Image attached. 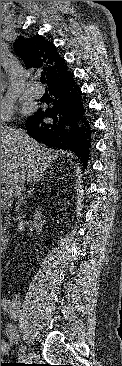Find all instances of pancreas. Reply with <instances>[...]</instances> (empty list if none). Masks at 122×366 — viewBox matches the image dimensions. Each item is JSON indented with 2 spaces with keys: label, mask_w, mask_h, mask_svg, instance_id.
<instances>
[{
  "label": "pancreas",
  "mask_w": 122,
  "mask_h": 366,
  "mask_svg": "<svg viewBox=\"0 0 122 366\" xmlns=\"http://www.w3.org/2000/svg\"><path fill=\"white\" fill-rule=\"evenodd\" d=\"M6 201V199H4L3 197H1V205ZM6 227L2 225V220H1V230H5Z\"/></svg>",
  "instance_id": "pancreas-1"
}]
</instances>
